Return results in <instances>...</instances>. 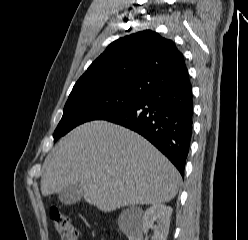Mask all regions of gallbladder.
I'll use <instances>...</instances> for the list:
<instances>
[{
    "mask_svg": "<svg viewBox=\"0 0 248 240\" xmlns=\"http://www.w3.org/2000/svg\"><path fill=\"white\" fill-rule=\"evenodd\" d=\"M83 196L81 185H71L58 192L59 200L65 205H73L80 201Z\"/></svg>",
    "mask_w": 248,
    "mask_h": 240,
    "instance_id": "obj_1",
    "label": "gallbladder"
}]
</instances>
